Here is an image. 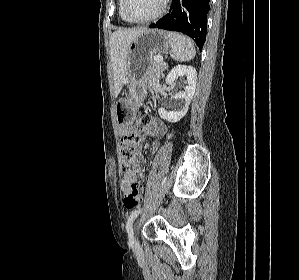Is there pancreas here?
<instances>
[{
  "label": "pancreas",
  "mask_w": 299,
  "mask_h": 280,
  "mask_svg": "<svg viewBox=\"0 0 299 280\" xmlns=\"http://www.w3.org/2000/svg\"><path fill=\"white\" fill-rule=\"evenodd\" d=\"M166 69L165 63H161L156 60H152L147 71L146 83L148 85H154L159 82L160 74Z\"/></svg>",
  "instance_id": "pancreas-1"
}]
</instances>
